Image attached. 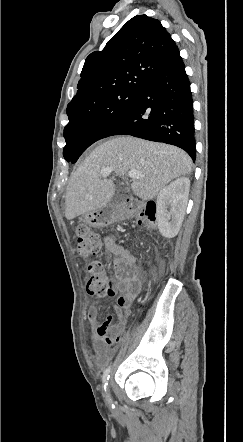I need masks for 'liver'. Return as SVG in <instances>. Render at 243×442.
Wrapping results in <instances>:
<instances>
[{
  "label": "liver",
  "mask_w": 243,
  "mask_h": 442,
  "mask_svg": "<svg viewBox=\"0 0 243 442\" xmlns=\"http://www.w3.org/2000/svg\"><path fill=\"white\" fill-rule=\"evenodd\" d=\"M106 167L119 176L130 170L139 171L141 178L132 182V191L142 200H151L170 181L189 174L192 160L185 151L172 145L130 136L110 139L96 147L72 174L65 197L67 220L110 202L115 184L101 176Z\"/></svg>",
  "instance_id": "6515ba94"
}]
</instances>
